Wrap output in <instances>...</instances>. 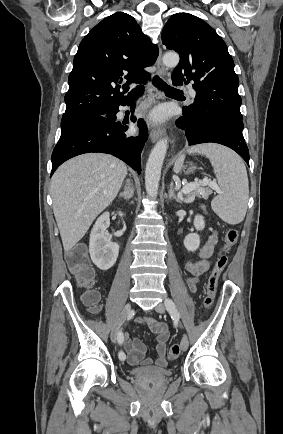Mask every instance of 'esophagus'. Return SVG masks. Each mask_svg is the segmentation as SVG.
Masks as SVG:
<instances>
[{
  "label": "esophagus",
  "mask_w": 283,
  "mask_h": 434,
  "mask_svg": "<svg viewBox=\"0 0 283 434\" xmlns=\"http://www.w3.org/2000/svg\"><path fill=\"white\" fill-rule=\"evenodd\" d=\"M156 66H157V73L164 77L166 75V69L162 62V52H159L158 58L156 60ZM165 133V129L163 128H157L151 131L150 133V139L152 142H156L159 138H161Z\"/></svg>",
  "instance_id": "1"
}]
</instances>
